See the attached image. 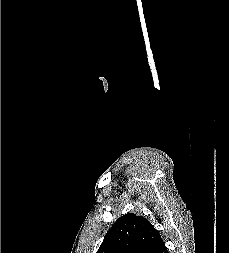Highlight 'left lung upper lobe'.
<instances>
[{
    "label": "left lung upper lobe",
    "instance_id": "obj_1",
    "mask_svg": "<svg viewBox=\"0 0 229 253\" xmlns=\"http://www.w3.org/2000/svg\"><path fill=\"white\" fill-rule=\"evenodd\" d=\"M162 242L147 219L127 213L116 220L97 253H155Z\"/></svg>",
    "mask_w": 229,
    "mask_h": 253
}]
</instances>
